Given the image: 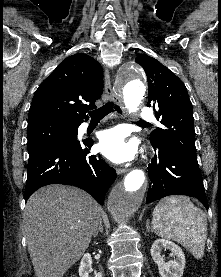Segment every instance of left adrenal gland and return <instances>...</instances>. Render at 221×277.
Masks as SVG:
<instances>
[{"mask_svg": "<svg viewBox=\"0 0 221 277\" xmlns=\"http://www.w3.org/2000/svg\"><path fill=\"white\" fill-rule=\"evenodd\" d=\"M151 229V227L149 226V220H147V223H146V231L149 232Z\"/></svg>", "mask_w": 221, "mask_h": 277, "instance_id": "obj_1", "label": "left adrenal gland"}]
</instances>
